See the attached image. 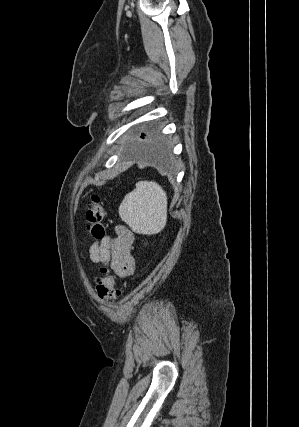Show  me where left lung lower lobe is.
I'll list each match as a JSON object with an SVG mask.
<instances>
[{
  "mask_svg": "<svg viewBox=\"0 0 299 427\" xmlns=\"http://www.w3.org/2000/svg\"><path fill=\"white\" fill-rule=\"evenodd\" d=\"M140 157L146 162L158 165H166L168 162L167 154L163 149V145L159 142L155 146L145 148L141 152Z\"/></svg>",
  "mask_w": 299,
  "mask_h": 427,
  "instance_id": "left-lung-lower-lobe-1",
  "label": "left lung lower lobe"
}]
</instances>
